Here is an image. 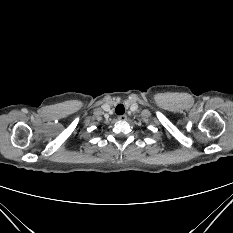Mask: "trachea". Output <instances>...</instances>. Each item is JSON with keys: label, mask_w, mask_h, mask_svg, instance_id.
Masks as SVG:
<instances>
[{"label": "trachea", "mask_w": 233, "mask_h": 233, "mask_svg": "<svg viewBox=\"0 0 233 233\" xmlns=\"http://www.w3.org/2000/svg\"><path fill=\"white\" fill-rule=\"evenodd\" d=\"M116 114L118 115H122L125 112V107L123 104H119L117 105L116 109H115Z\"/></svg>", "instance_id": "obj_1"}]
</instances>
